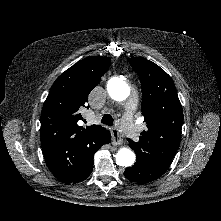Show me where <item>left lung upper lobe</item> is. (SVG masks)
Segmentation results:
<instances>
[{
    "mask_svg": "<svg viewBox=\"0 0 221 221\" xmlns=\"http://www.w3.org/2000/svg\"><path fill=\"white\" fill-rule=\"evenodd\" d=\"M142 86L141 110L147 129L139 141L128 139L136 162L171 163L181 141L183 109L169 75L145 58H129Z\"/></svg>",
    "mask_w": 221,
    "mask_h": 221,
    "instance_id": "5c2ea615",
    "label": "left lung upper lobe"
}]
</instances>
